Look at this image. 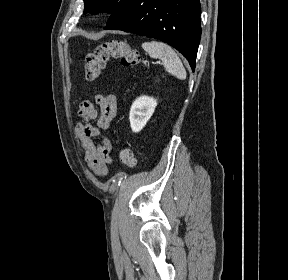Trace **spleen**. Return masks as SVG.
Segmentation results:
<instances>
[{"label": "spleen", "instance_id": "obj_1", "mask_svg": "<svg viewBox=\"0 0 288 280\" xmlns=\"http://www.w3.org/2000/svg\"><path fill=\"white\" fill-rule=\"evenodd\" d=\"M142 48L152 58L162 60L164 68L180 80L186 79V70L175 51L167 44L159 41H150L142 44Z\"/></svg>", "mask_w": 288, "mask_h": 280}]
</instances>
